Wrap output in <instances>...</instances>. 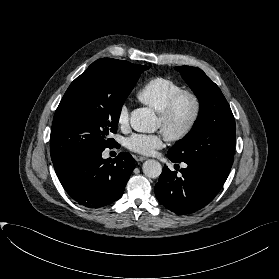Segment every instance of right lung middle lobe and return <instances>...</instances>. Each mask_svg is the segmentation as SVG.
Returning <instances> with one entry per match:
<instances>
[{"label":"right lung middle lobe","mask_w":279,"mask_h":279,"mask_svg":"<svg viewBox=\"0 0 279 279\" xmlns=\"http://www.w3.org/2000/svg\"><path fill=\"white\" fill-rule=\"evenodd\" d=\"M146 69L138 65L124 73L114 59L104 58L77 77L54 115L50 136L52 162L110 147L114 139L109 134L117 132L121 107Z\"/></svg>","instance_id":"dd1d6c3e"}]
</instances>
